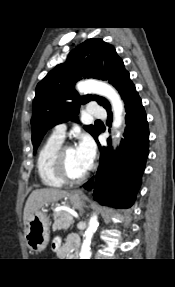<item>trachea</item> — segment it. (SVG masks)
<instances>
[{
	"label": "trachea",
	"mask_w": 175,
	"mask_h": 287,
	"mask_svg": "<svg viewBox=\"0 0 175 287\" xmlns=\"http://www.w3.org/2000/svg\"><path fill=\"white\" fill-rule=\"evenodd\" d=\"M96 122H101V120H96Z\"/></svg>",
	"instance_id": "1"
}]
</instances>
